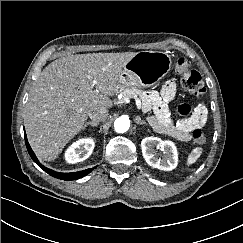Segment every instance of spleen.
<instances>
[{
  "mask_svg": "<svg viewBox=\"0 0 243 243\" xmlns=\"http://www.w3.org/2000/svg\"><path fill=\"white\" fill-rule=\"evenodd\" d=\"M202 150L203 149L201 147L194 148L188 156L187 165L195 163L197 159L201 156Z\"/></svg>",
  "mask_w": 243,
  "mask_h": 243,
  "instance_id": "1",
  "label": "spleen"
}]
</instances>
